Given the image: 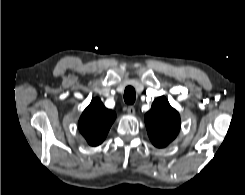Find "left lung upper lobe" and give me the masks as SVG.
Returning <instances> with one entry per match:
<instances>
[{"label":"left lung upper lobe","mask_w":245,"mask_h":195,"mask_svg":"<svg viewBox=\"0 0 245 195\" xmlns=\"http://www.w3.org/2000/svg\"><path fill=\"white\" fill-rule=\"evenodd\" d=\"M145 124L151 142L158 148L166 147L180 130L179 113L164 97H158L145 114Z\"/></svg>","instance_id":"left-lung-upper-lobe-1"}]
</instances>
